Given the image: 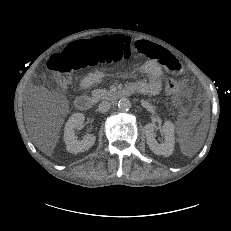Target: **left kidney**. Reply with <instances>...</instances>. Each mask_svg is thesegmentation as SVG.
<instances>
[{
    "label": "left kidney",
    "instance_id": "5707ae66",
    "mask_svg": "<svg viewBox=\"0 0 231 231\" xmlns=\"http://www.w3.org/2000/svg\"><path fill=\"white\" fill-rule=\"evenodd\" d=\"M174 124L166 121L160 128V132L164 135V142L158 143L155 139V130L157 126L153 123L145 125V135L149 148L157 155L165 157L170 156L174 151L175 137H174Z\"/></svg>",
    "mask_w": 231,
    "mask_h": 231
}]
</instances>
